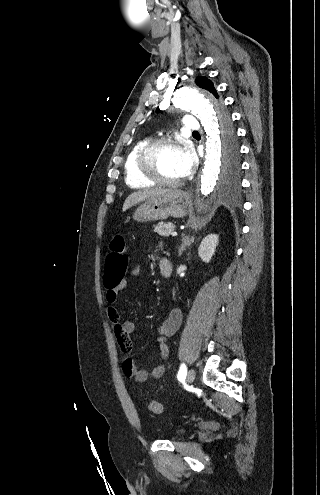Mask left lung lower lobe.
<instances>
[{"mask_svg":"<svg viewBox=\"0 0 320 495\" xmlns=\"http://www.w3.org/2000/svg\"><path fill=\"white\" fill-rule=\"evenodd\" d=\"M227 120H228V123L230 124V126H232V123H231V118H230L229 114H228V118H227Z\"/></svg>","mask_w":320,"mask_h":495,"instance_id":"left-lung-lower-lobe-1","label":"left lung lower lobe"}]
</instances>
